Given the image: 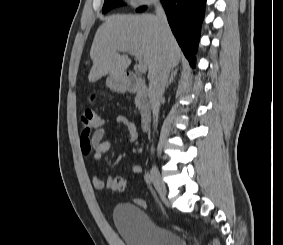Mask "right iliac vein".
Returning <instances> with one entry per match:
<instances>
[{
	"label": "right iliac vein",
	"mask_w": 283,
	"mask_h": 245,
	"mask_svg": "<svg viewBox=\"0 0 283 245\" xmlns=\"http://www.w3.org/2000/svg\"><path fill=\"white\" fill-rule=\"evenodd\" d=\"M151 177L158 194L163 200H166V195H167L166 187L161 180L158 169L154 165L151 168Z\"/></svg>",
	"instance_id": "right-iliac-vein-1"
}]
</instances>
